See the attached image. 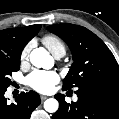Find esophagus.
I'll return each instance as SVG.
<instances>
[{
    "label": "esophagus",
    "mask_w": 119,
    "mask_h": 119,
    "mask_svg": "<svg viewBox=\"0 0 119 119\" xmlns=\"http://www.w3.org/2000/svg\"><path fill=\"white\" fill-rule=\"evenodd\" d=\"M40 98H41L42 101H44V100L47 99V96L41 95Z\"/></svg>",
    "instance_id": "esophagus-1"
}]
</instances>
